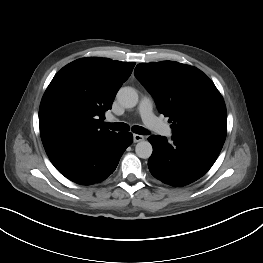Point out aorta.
<instances>
[{
  "label": "aorta",
  "instance_id": "obj_1",
  "mask_svg": "<svg viewBox=\"0 0 263 263\" xmlns=\"http://www.w3.org/2000/svg\"><path fill=\"white\" fill-rule=\"evenodd\" d=\"M118 102L125 108H133L138 103V94L132 87H122L117 93ZM138 157L148 159L153 152L152 145L148 141H140L135 147Z\"/></svg>",
  "mask_w": 263,
  "mask_h": 263
}]
</instances>
